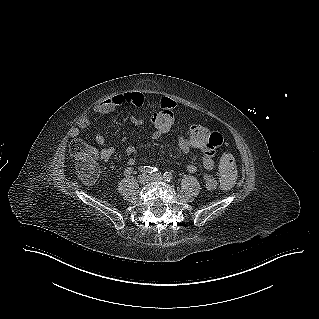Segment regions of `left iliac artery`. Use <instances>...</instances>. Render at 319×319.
<instances>
[{
  "label": "left iliac artery",
  "instance_id": "obj_1",
  "mask_svg": "<svg viewBox=\"0 0 319 319\" xmlns=\"http://www.w3.org/2000/svg\"><path fill=\"white\" fill-rule=\"evenodd\" d=\"M163 176H164V179L168 182H171L173 180V175L171 172L166 171Z\"/></svg>",
  "mask_w": 319,
  "mask_h": 319
}]
</instances>
